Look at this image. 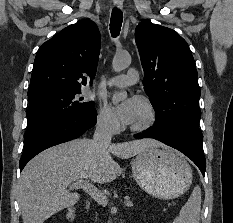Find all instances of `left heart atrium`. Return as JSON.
<instances>
[{
	"instance_id": "left-heart-atrium-1",
	"label": "left heart atrium",
	"mask_w": 233,
	"mask_h": 223,
	"mask_svg": "<svg viewBox=\"0 0 233 223\" xmlns=\"http://www.w3.org/2000/svg\"><path fill=\"white\" fill-rule=\"evenodd\" d=\"M141 100L138 97H130L115 107L119 119L126 125H132L139 116Z\"/></svg>"
}]
</instances>
